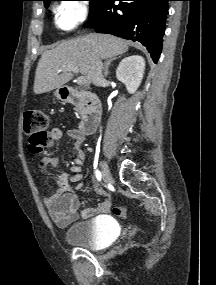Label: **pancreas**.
<instances>
[{
    "label": "pancreas",
    "mask_w": 216,
    "mask_h": 285,
    "mask_svg": "<svg viewBox=\"0 0 216 285\" xmlns=\"http://www.w3.org/2000/svg\"><path fill=\"white\" fill-rule=\"evenodd\" d=\"M86 109H87V105H86V102L84 101H80L79 103H77L76 108H75V110L80 115H83Z\"/></svg>",
    "instance_id": "1"
}]
</instances>
